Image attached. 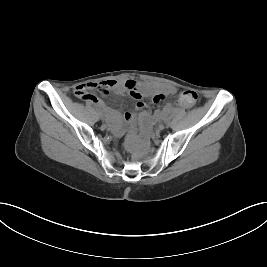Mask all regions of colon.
Instances as JSON below:
<instances>
[{
  "label": "colon",
  "instance_id": "colon-1",
  "mask_svg": "<svg viewBox=\"0 0 267 267\" xmlns=\"http://www.w3.org/2000/svg\"><path fill=\"white\" fill-rule=\"evenodd\" d=\"M127 89L129 90L130 94H137L138 88L134 82L128 81L127 82ZM97 90L101 94H108L109 88L105 86L104 81L100 83H86L83 86L77 88V95L80 99H90L93 97L91 91ZM197 94L192 90L183 91L178 99L180 105L184 107H191L197 101ZM163 99V96H157L154 98L156 102H159Z\"/></svg>",
  "mask_w": 267,
  "mask_h": 267
}]
</instances>
